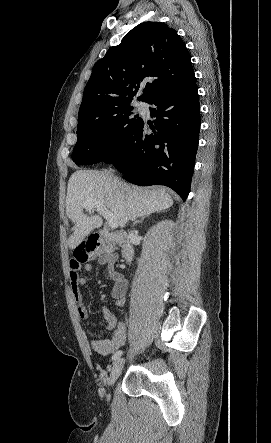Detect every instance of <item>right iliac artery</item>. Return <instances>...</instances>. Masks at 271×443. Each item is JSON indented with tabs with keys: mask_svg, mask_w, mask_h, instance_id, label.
<instances>
[{
	"mask_svg": "<svg viewBox=\"0 0 271 443\" xmlns=\"http://www.w3.org/2000/svg\"><path fill=\"white\" fill-rule=\"evenodd\" d=\"M122 354H123L122 350L116 351L112 356V360L116 361L117 359H119V357H121Z\"/></svg>",
	"mask_w": 271,
	"mask_h": 443,
	"instance_id": "right-iliac-artery-1",
	"label": "right iliac artery"
}]
</instances>
